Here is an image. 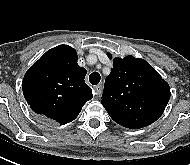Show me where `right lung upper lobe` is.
I'll list each match as a JSON object with an SVG mask.
<instances>
[{
  "label": "right lung upper lobe",
  "instance_id": "cb5924a9",
  "mask_svg": "<svg viewBox=\"0 0 190 165\" xmlns=\"http://www.w3.org/2000/svg\"><path fill=\"white\" fill-rule=\"evenodd\" d=\"M86 69L68 45L48 50L26 72L22 90L31 109L60 125L74 120L93 95L85 83Z\"/></svg>",
  "mask_w": 190,
  "mask_h": 165
}]
</instances>
